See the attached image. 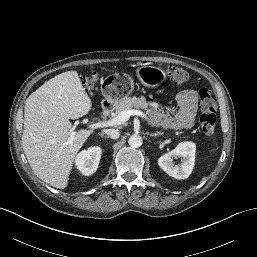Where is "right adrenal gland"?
<instances>
[{
	"label": "right adrenal gland",
	"mask_w": 257,
	"mask_h": 257,
	"mask_svg": "<svg viewBox=\"0 0 257 257\" xmlns=\"http://www.w3.org/2000/svg\"><path fill=\"white\" fill-rule=\"evenodd\" d=\"M102 138H107L108 136L104 135L103 133L99 134Z\"/></svg>",
	"instance_id": "2a0ac1e0"
}]
</instances>
